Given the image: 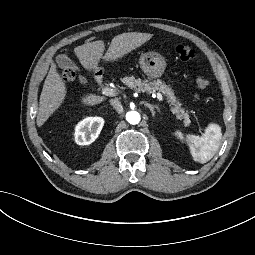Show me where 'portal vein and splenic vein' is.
Wrapping results in <instances>:
<instances>
[{
	"label": "portal vein and splenic vein",
	"instance_id": "1",
	"mask_svg": "<svg viewBox=\"0 0 255 255\" xmlns=\"http://www.w3.org/2000/svg\"><path fill=\"white\" fill-rule=\"evenodd\" d=\"M101 92H102L103 95H107V96H112V95H113V90H112L111 88H109V87H104V88H102ZM154 95H155V94H154ZM155 96H157V99H158L160 102H163V101H164L162 94L158 93V94L155 95Z\"/></svg>",
	"mask_w": 255,
	"mask_h": 255
}]
</instances>
